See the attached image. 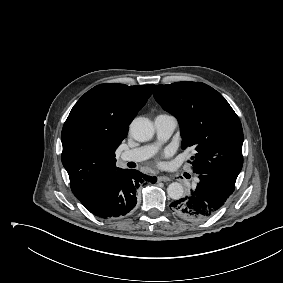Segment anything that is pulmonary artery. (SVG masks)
<instances>
[{"mask_svg":"<svg viewBox=\"0 0 283 283\" xmlns=\"http://www.w3.org/2000/svg\"><path fill=\"white\" fill-rule=\"evenodd\" d=\"M154 125L158 142L156 144L146 145L123 152L119 157L120 162H141L148 159L155 152L158 145L161 142L166 141L172 135L177 122L173 116L161 114L155 117Z\"/></svg>","mask_w":283,"mask_h":283,"instance_id":"pulmonary-artery-1","label":"pulmonary artery"}]
</instances>
